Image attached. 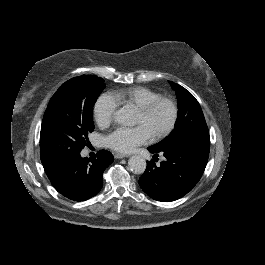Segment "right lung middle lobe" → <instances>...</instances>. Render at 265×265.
<instances>
[{
  "label": "right lung middle lobe",
  "mask_w": 265,
  "mask_h": 265,
  "mask_svg": "<svg viewBox=\"0 0 265 265\" xmlns=\"http://www.w3.org/2000/svg\"><path fill=\"white\" fill-rule=\"evenodd\" d=\"M105 88L96 76H78L63 83L48 103L40 132L42 163L79 154L94 130L93 106Z\"/></svg>",
  "instance_id": "1"
}]
</instances>
